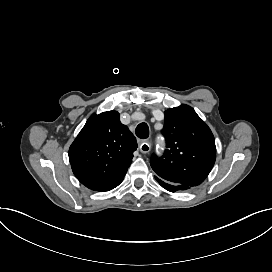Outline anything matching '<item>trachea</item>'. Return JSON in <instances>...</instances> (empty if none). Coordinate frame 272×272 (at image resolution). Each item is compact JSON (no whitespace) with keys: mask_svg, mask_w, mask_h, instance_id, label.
I'll list each match as a JSON object with an SVG mask.
<instances>
[{"mask_svg":"<svg viewBox=\"0 0 272 272\" xmlns=\"http://www.w3.org/2000/svg\"><path fill=\"white\" fill-rule=\"evenodd\" d=\"M135 133L140 139H147L149 136L148 125L146 123L139 124L135 130Z\"/></svg>","mask_w":272,"mask_h":272,"instance_id":"trachea-1","label":"trachea"}]
</instances>
